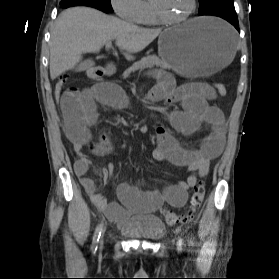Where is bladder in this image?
I'll return each instance as SVG.
<instances>
[{
	"instance_id": "bladder-1",
	"label": "bladder",
	"mask_w": 279,
	"mask_h": 279,
	"mask_svg": "<svg viewBox=\"0 0 279 279\" xmlns=\"http://www.w3.org/2000/svg\"><path fill=\"white\" fill-rule=\"evenodd\" d=\"M120 231L127 237L135 239L156 240L164 236L165 225L161 219L154 215L131 217L121 223Z\"/></svg>"
}]
</instances>
